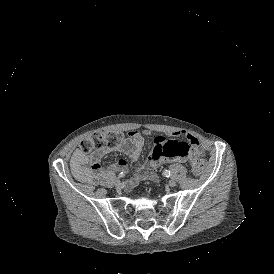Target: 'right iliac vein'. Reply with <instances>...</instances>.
<instances>
[{"mask_svg": "<svg viewBox=\"0 0 274 274\" xmlns=\"http://www.w3.org/2000/svg\"><path fill=\"white\" fill-rule=\"evenodd\" d=\"M115 186H116V188H119L121 186V181L120 180H116Z\"/></svg>", "mask_w": 274, "mask_h": 274, "instance_id": "obj_1", "label": "right iliac vein"}]
</instances>
